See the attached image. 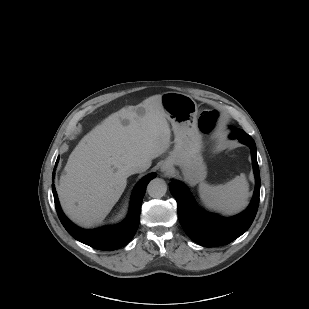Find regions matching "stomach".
I'll return each mask as SVG.
<instances>
[{
    "label": "stomach",
    "instance_id": "obj_1",
    "mask_svg": "<svg viewBox=\"0 0 309 309\" xmlns=\"http://www.w3.org/2000/svg\"><path fill=\"white\" fill-rule=\"evenodd\" d=\"M162 109L172 125L174 148L166 162L179 165L185 180L194 185L206 177L202 136L197 127L198 107L191 96L180 92L161 95Z\"/></svg>",
    "mask_w": 309,
    "mask_h": 309
}]
</instances>
